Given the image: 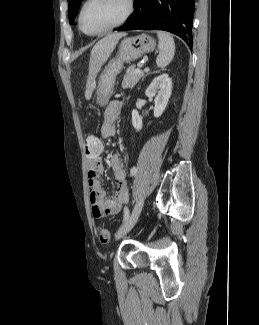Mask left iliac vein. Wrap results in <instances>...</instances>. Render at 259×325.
I'll list each match as a JSON object with an SVG mask.
<instances>
[{
    "label": "left iliac vein",
    "mask_w": 259,
    "mask_h": 325,
    "mask_svg": "<svg viewBox=\"0 0 259 325\" xmlns=\"http://www.w3.org/2000/svg\"><path fill=\"white\" fill-rule=\"evenodd\" d=\"M143 205H144V198L141 197L135 204L130 217L123 223V225L119 228V230L115 234L116 240L125 236L134 227L142 211Z\"/></svg>",
    "instance_id": "1"
}]
</instances>
